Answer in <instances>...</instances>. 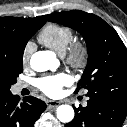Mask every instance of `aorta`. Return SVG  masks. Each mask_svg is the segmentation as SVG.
<instances>
[{"instance_id":"1","label":"aorta","mask_w":127,"mask_h":127,"mask_svg":"<svg viewBox=\"0 0 127 127\" xmlns=\"http://www.w3.org/2000/svg\"><path fill=\"white\" fill-rule=\"evenodd\" d=\"M30 66L37 72L54 70L58 66V60L51 51H38L31 56ZM56 114L59 121L68 123L74 118V109L70 105H60Z\"/></svg>"}]
</instances>
